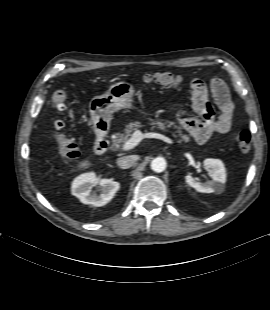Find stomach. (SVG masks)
I'll list each match as a JSON object with an SVG mask.
<instances>
[{
	"instance_id": "stomach-1",
	"label": "stomach",
	"mask_w": 270,
	"mask_h": 310,
	"mask_svg": "<svg viewBox=\"0 0 270 310\" xmlns=\"http://www.w3.org/2000/svg\"><path fill=\"white\" fill-rule=\"evenodd\" d=\"M134 93V86L122 81L111 85L104 94L95 96L89 104L94 127L98 128L103 123L108 124L114 112L129 108L132 105Z\"/></svg>"
}]
</instances>
